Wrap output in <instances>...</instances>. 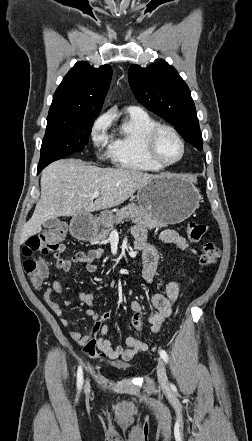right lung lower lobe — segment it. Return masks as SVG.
<instances>
[{
	"instance_id": "1",
	"label": "right lung lower lobe",
	"mask_w": 252,
	"mask_h": 441,
	"mask_svg": "<svg viewBox=\"0 0 252 441\" xmlns=\"http://www.w3.org/2000/svg\"><path fill=\"white\" fill-rule=\"evenodd\" d=\"M43 166H38V173L43 169Z\"/></svg>"
}]
</instances>
